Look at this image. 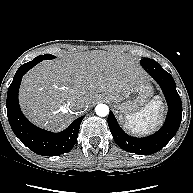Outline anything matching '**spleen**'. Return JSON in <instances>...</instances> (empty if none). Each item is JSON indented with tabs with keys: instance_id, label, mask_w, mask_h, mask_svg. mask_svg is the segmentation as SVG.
Here are the masks:
<instances>
[{
	"instance_id": "1",
	"label": "spleen",
	"mask_w": 193,
	"mask_h": 193,
	"mask_svg": "<svg viewBox=\"0 0 193 193\" xmlns=\"http://www.w3.org/2000/svg\"><path fill=\"white\" fill-rule=\"evenodd\" d=\"M162 102L157 98L151 100L139 112L127 114L124 128L134 135H148L161 122L159 113Z\"/></svg>"
}]
</instances>
